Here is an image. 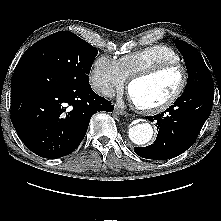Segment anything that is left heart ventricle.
Listing matches in <instances>:
<instances>
[{
    "label": "left heart ventricle",
    "mask_w": 221,
    "mask_h": 221,
    "mask_svg": "<svg viewBox=\"0 0 221 221\" xmlns=\"http://www.w3.org/2000/svg\"><path fill=\"white\" fill-rule=\"evenodd\" d=\"M180 83L181 71L170 69L134 82L130 92L137 104L154 106L166 101L178 89Z\"/></svg>",
    "instance_id": "obj_1"
}]
</instances>
